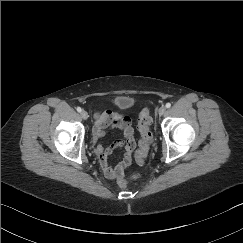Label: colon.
Segmentation results:
<instances>
[{
	"mask_svg": "<svg viewBox=\"0 0 243 243\" xmlns=\"http://www.w3.org/2000/svg\"><path fill=\"white\" fill-rule=\"evenodd\" d=\"M151 122L152 119L150 116V111L148 108H144L139 115V120L137 125V129L141 136L139 141V150L136 153V158L139 162H142L143 158L146 156L153 142V135L150 129ZM139 176L140 175L138 173L124 175L120 177L116 183L119 187L125 188L130 184V182L138 179Z\"/></svg>",
	"mask_w": 243,
	"mask_h": 243,
	"instance_id": "5ec220e1",
	"label": "colon"
}]
</instances>
